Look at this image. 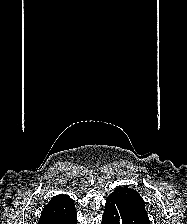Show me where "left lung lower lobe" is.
I'll return each mask as SVG.
<instances>
[{"mask_svg":"<svg viewBox=\"0 0 187 224\" xmlns=\"http://www.w3.org/2000/svg\"><path fill=\"white\" fill-rule=\"evenodd\" d=\"M102 224H150V221L123 191L116 189L106 200Z\"/></svg>","mask_w":187,"mask_h":224,"instance_id":"0a47b994","label":"left lung lower lobe"}]
</instances>
